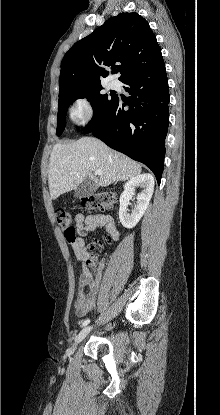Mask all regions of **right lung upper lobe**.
<instances>
[{"label":"right lung upper lobe","mask_w":220,"mask_h":415,"mask_svg":"<svg viewBox=\"0 0 220 415\" xmlns=\"http://www.w3.org/2000/svg\"><path fill=\"white\" fill-rule=\"evenodd\" d=\"M163 61L161 49L148 22L137 13L109 18L93 33L76 42L65 54L59 94L80 85L101 84L116 68L119 80L151 69Z\"/></svg>","instance_id":"right-lung-upper-lobe-1"}]
</instances>
